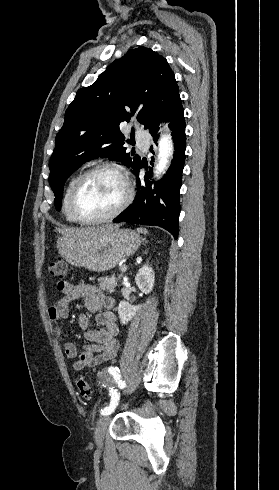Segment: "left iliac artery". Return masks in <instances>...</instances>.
<instances>
[{
  "mask_svg": "<svg viewBox=\"0 0 279 490\" xmlns=\"http://www.w3.org/2000/svg\"><path fill=\"white\" fill-rule=\"evenodd\" d=\"M110 374H112L114 377H120V370L118 367H110L108 369ZM110 396H111V401L109 406L105 407L103 410H101V415H109L111 414L115 408L118 405L119 399H120V393L117 392V390H110Z\"/></svg>",
  "mask_w": 279,
  "mask_h": 490,
  "instance_id": "obj_1",
  "label": "left iliac artery"
}]
</instances>
